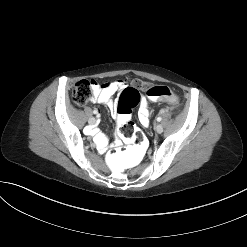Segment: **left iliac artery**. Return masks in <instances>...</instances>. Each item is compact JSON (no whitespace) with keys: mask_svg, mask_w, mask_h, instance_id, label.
I'll return each mask as SVG.
<instances>
[{"mask_svg":"<svg viewBox=\"0 0 247 247\" xmlns=\"http://www.w3.org/2000/svg\"><path fill=\"white\" fill-rule=\"evenodd\" d=\"M161 120H162V118H161V117H158V118H157V121H158V122H160Z\"/></svg>","mask_w":247,"mask_h":247,"instance_id":"1","label":"left iliac artery"}]
</instances>
